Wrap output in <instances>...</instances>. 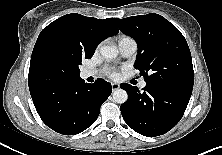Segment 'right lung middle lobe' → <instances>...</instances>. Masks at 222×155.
Wrapping results in <instances>:
<instances>
[{
	"instance_id": "dd1d6c3e",
	"label": "right lung middle lobe",
	"mask_w": 222,
	"mask_h": 155,
	"mask_svg": "<svg viewBox=\"0 0 222 155\" xmlns=\"http://www.w3.org/2000/svg\"><path fill=\"white\" fill-rule=\"evenodd\" d=\"M46 59L50 66L62 78H74L80 75L82 59H89L65 34L52 37L45 48Z\"/></svg>"
}]
</instances>
